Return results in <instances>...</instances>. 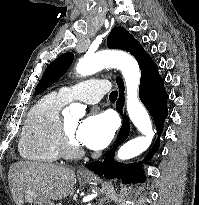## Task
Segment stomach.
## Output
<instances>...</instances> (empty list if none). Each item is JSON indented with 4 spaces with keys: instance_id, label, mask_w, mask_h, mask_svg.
Listing matches in <instances>:
<instances>
[{
    "instance_id": "1",
    "label": "stomach",
    "mask_w": 199,
    "mask_h": 205,
    "mask_svg": "<svg viewBox=\"0 0 199 205\" xmlns=\"http://www.w3.org/2000/svg\"><path fill=\"white\" fill-rule=\"evenodd\" d=\"M80 182L82 184H90V180L86 178H80ZM24 199L25 202L28 203L29 205H54L53 202L42 197L41 195L34 192L33 190H26L24 192Z\"/></svg>"
}]
</instances>
